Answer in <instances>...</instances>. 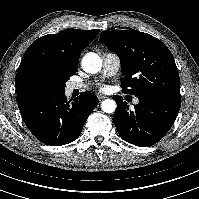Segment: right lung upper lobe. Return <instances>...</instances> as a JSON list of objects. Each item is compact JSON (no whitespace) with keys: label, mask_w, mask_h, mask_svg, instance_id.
Listing matches in <instances>:
<instances>
[{"label":"right lung upper lobe","mask_w":199,"mask_h":199,"mask_svg":"<svg viewBox=\"0 0 199 199\" xmlns=\"http://www.w3.org/2000/svg\"><path fill=\"white\" fill-rule=\"evenodd\" d=\"M100 30L68 29L48 34L34 41L26 50L16 74L18 103L24 101L20 92L27 75L38 72L55 79L68 80L76 71L82 50Z\"/></svg>","instance_id":"right-lung-upper-lobe-1"}]
</instances>
